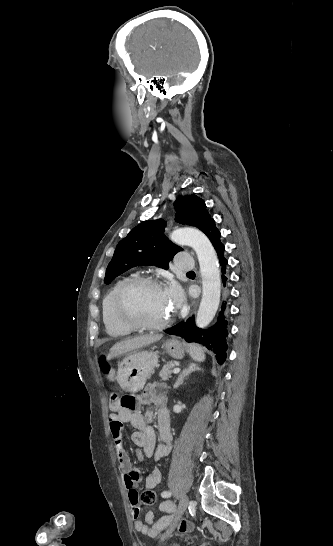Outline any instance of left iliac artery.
Returning a JSON list of instances; mask_svg holds the SVG:
<instances>
[{
  "mask_svg": "<svg viewBox=\"0 0 333 546\" xmlns=\"http://www.w3.org/2000/svg\"><path fill=\"white\" fill-rule=\"evenodd\" d=\"M171 492L170 491H166V492H163L162 496L163 497H170L171 496Z\"/></svg>",
  "mask_w": 333,
  "mask_h": 546,
  "instance_id": "44dca946",
  "label": "left iliac artery"
}]
</instances>
